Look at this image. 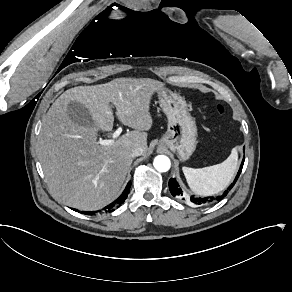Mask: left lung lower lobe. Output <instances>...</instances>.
Wrapping results in <instances>:
<instances>
[{
  "label": "left lung lower lobe",
  "mask_w": 292,
  "mask_h": 292,
  "mask_svg": "<svg viewBox=\"0 0 292 292\" xmlns=\"http://www.w3.org/2000/svg\"><path fill=\"white\" fill-rule=\"evenodd\" d=\"M243 164H244V159L241 163L240 169L237 173V176H236L234 182L228 187L227 190L224 191V193L222 195L217 196V197H204V198H201V197L195 198L194 196H191L190 201L195 203L196 205H204V204H209V203L216 201V200L219 201V200L223 199L228 194V192L232 189V187L235 185V183H236V181H237V179L242 171ZM169 190L174 197H177L179 199L184 200L183 191L179 187V184L175 178H171L169 180Z\"/></svg>",
  "instance_id": "0a47b994"
}]
</instances>
